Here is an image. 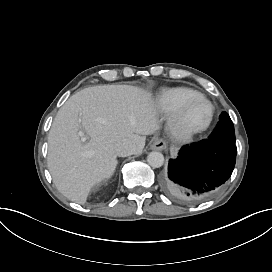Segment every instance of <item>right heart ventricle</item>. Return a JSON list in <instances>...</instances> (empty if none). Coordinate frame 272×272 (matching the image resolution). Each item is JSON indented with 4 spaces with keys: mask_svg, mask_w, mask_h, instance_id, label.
Wrapping results in <instances>:
<instances>
[{
    "mask_svg": "<svg viewBox=\"0 0 272 272\" xmlns=\"http://www.w3.org/2000/svg\"><path fill=\"white\" fill-rule=\"evenodd\" d=\"M196 89L188 87H176L163 90L159 96V104L165 110H176L179 104L185 99L198 95Z\"/></svg>",
    "mask_w": 272,
    "mask_h": 272,
    "instance_id": "1",
    "label": "right heart ventricle"
}]
</instances>
